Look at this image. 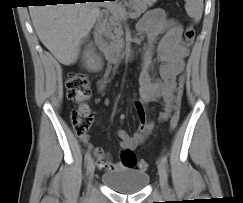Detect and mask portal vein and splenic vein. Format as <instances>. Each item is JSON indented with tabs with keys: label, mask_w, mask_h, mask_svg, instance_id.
<instances>
[{
	"label": "portal vein and splenic vein",
	"mask_w": 243,
	"mask_h": 203,
	"mask_svg": "<svg viewBox=\"0 0 243 203\" xmlns=\"http://www.w3.org/2000/svg\"><path fill=\"white\" fill-rule=\"evenodd\" d=\"M107 9L110 11H114L120 14L121 17L127 18L128 16L131 18H136L135 13H129L125 10V8L121 7L118 4H104Z\"/></svg>",
	"instance_id": "1"
}]
</instances>
